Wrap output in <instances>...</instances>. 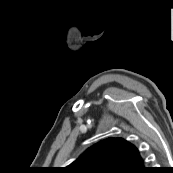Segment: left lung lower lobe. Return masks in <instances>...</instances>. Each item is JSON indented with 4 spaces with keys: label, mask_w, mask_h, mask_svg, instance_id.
Here are the masks:
<instances>
[{
    "label": "left lung lower lobe",
    "mask_w": 173,
    "mask_h": 173,
    "mask_svg": "<svg viewBox=\"0 0 173 173\" xmlns=\"http://www.w3.org/2000/svg\"><path fill=\"white\" fill-rule=\"evenodd\" d=\"M149 172H150L149 168H146V169H144V171L142 173H149Z\"/></svg>",
    "instance_id": "0a47b994"
}]
</instances>
